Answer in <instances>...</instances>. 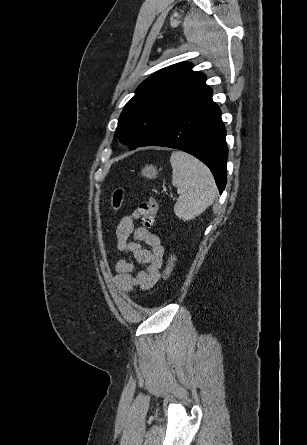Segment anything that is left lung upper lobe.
Returning <instances> with one entry per match:
<instances>
[{
    "mask_svg": "<svg viewBox=\"0 0 307 445\" xmlns=\"http://www.w3.org/2000/svg\"><path fill=\"white\" fill-rule=\"evenodd\" d=\"M191 63H178L147 78L125 105L117 136L131 150L182 113L212 95L206 76L192 71Z\"/></svg>",
    "mask_w": 307,
    "mask_h": 445,
    "instance_id": "5c2ea615",
    "label": "left lung upper lobe"
}]
</instances>
